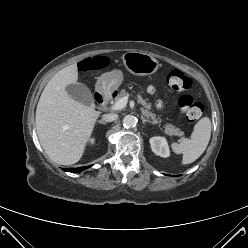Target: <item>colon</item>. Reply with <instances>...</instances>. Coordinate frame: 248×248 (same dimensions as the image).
I'll return each instance as SVG.
<instances>
[{"mask_svg":"<svg viewBox=\"0 0 248 248\" xmlns=\"http://www.w3.org/2000/svg\"><path fill=\"white\" fill-rule=\"evenodd\" d=\"M102 66L103 61L98 58L87 59L81 63L82 70L97 69ZM167 82L168 85L177 92L187 91L192 86L191 79L183 72L176 69L169 72ZM149 91L153 92V88H150ZM177 104L189 122L194 123L200 119L203 112V106L191 95H181L177 100Z\"/></svg>","mask_w":248,"mask_h":248,"instance_id":"colon-1","label":"colon"}]
</instances>
